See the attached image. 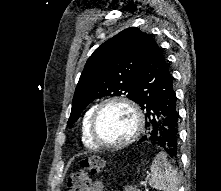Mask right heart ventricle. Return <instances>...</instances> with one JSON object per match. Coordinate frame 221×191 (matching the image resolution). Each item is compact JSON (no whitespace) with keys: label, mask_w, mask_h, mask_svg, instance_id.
<instances>
[{"label":"right heart ventricle","mask_w":221,"mask_h":191,"mask_svg":"<svg viewBox=\"0 0 221 191\" xmlns=\"http://www.w3.org/2000/svg\"><path fill=\"white\" fill-rule=\"evenodd\" d=\"M94 108L95 106H92L85 112L81 122V140L84 146L90 149L99 147L95 142H93L89 132L90 118Z\"/></svg>","instance_id":"e07e8e85"}]
</instances>
